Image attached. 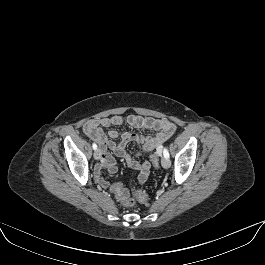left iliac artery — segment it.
I'll use <instances>...</instances> for the list:
<instances>
[{
    "label": "left iliac artery",
    "mask_w": 265,
    "mask_h": 265,
    "mask_svg": "<svg viewBox=\"0 0 265 265\" xmlns=\"http://www.w3.org/2000/svg\"><path fill=\"white\" fill-rule=\"evenodd\" d=\"M163 155H164V157L169 158V152L166 148H164V150H163Z\"/></svg>",
    "instance_id": "44dca946"
}]
</instances>
